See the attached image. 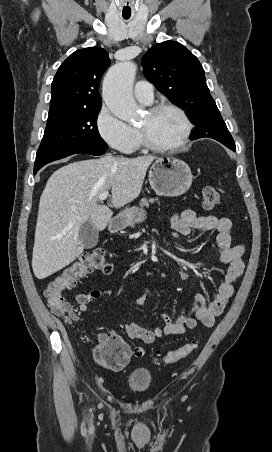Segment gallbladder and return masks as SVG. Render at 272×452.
I'll use <instances>...</instances> for the list:
<instances>
[{
  "mask_svg": "<svg viewBox=\"0 0 272 452\" xmlns=\"http://www.w3.org/2000/svg\"><path fill=\"white\" fill-rule=\"evenodd\" d=\"M98 230L90 222L86 221L81 227V240L86 249L93 248L98 243Z\"/></svg>",
  "mask_w": 272,
  "mask_h": 452,
  "instance_id": "1",
  "label": "gallbladder"
}]
</instances>
